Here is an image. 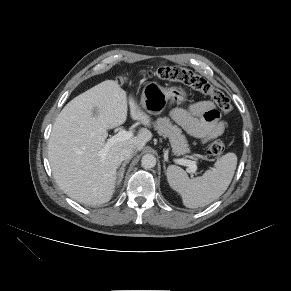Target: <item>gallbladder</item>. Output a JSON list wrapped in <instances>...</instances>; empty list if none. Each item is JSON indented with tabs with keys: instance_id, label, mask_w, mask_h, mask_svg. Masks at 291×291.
<instances>
[{
	"instance_id": "gallbladder-1",
	"label": "gallbladder",
	"mask_w": 291,
	"mask_h": 291,
	"mask_svg": "<svg viewBox=\"0 0 291 291\" xmlns=\"http://www.w3.org/2000/svg\"><path fill=\"white\" fill-rule=\"evenodd\" d=\"M97 114V112H96V110L94 111V115H96Z\"/></svg>"
}]
</instances>
